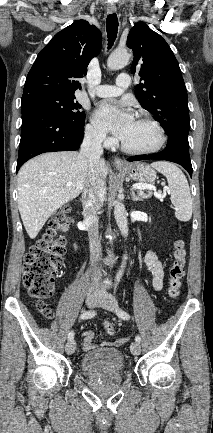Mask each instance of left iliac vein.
<instances>
[{
  "label": "left iliac vein",
  "mask_w": 213,
  "mask_h": 433,
  "mask_svg": "<svg viewBox=\"0 0 213 433\" xmlns=\"http://www.w3.org/2000/svg\"><path fill=\"white\" fill-rule=\"evenodd\" d=\"M98 305L106 310L114 312L116 310L117 302L112 295H110L107 292H104L101 295V299ZM130 350L133 355L136 356L139 355L141 352L140 344L136 341L132 342L130 345Z\"/></svg>",
  "instance_id": "left-iliac-vein-1"
}]
</instances>
